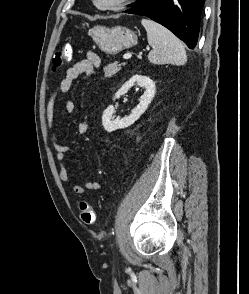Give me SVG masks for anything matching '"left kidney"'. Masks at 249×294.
<instances>
[{
  "instance_id": "5707ae66",
  "label": "left kidney",
  "mask_w": 249,
  "mask_h": 294,
  "mask_svg": "<svg viewBox=\"0 0 249 294\" xmlns=\"http://www.w3.org/2000/svg\"><path fill=\"white\" fill-rule=\"evenodd\" d=\"M137 84L144 87L145 91L139 99V104L132 110L131 115L124 118H115L113 116L115 109L113 105L107 107L102 115V125L107 132H112L117 129L127 128L137 121L146 111L155 95V83L149 77L142 75H133L122 87L115 93L113 100L119 99L125 95L128 90Z\"/></svg>"
}]
</instances>
